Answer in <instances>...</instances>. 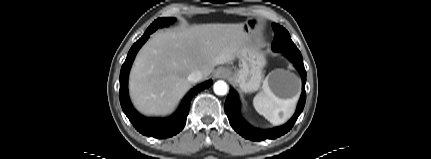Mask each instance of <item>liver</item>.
I'll use <instances>...</instances> for the list:
<instances>
[{"label": "liver", "mask_w": 431, "mask_h": 159, "mask_svg": "<svg viewBox=\"0 0 431 159\" xmlns=\"http://www.w3.org/2000/svg\"><path fill=\"white\" fill-rule=\"evenodd\" d=\"M249 42L243 23L201 24L157 32L139 51L131 69L130 97L145 115H167L191 88L188 76L232 64Z\"/></svg>", "instance_id": "6515ba94"}]
</instances>
